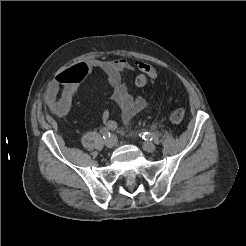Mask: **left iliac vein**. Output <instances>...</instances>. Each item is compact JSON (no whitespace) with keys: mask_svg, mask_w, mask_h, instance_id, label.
Segmentation results:
<instances>
[{"mask_svg":"<svg viewBox=\"0 0 246 246\" xmlns=\"http://www.w3.org/2000/svg\"><path fill=\"white\" fill-rule=\"evenodd\" d=\"M142 146H143V149L147 152H154L156 150V146L152 142L143 143Z\"/></svg>","mask_w":246,"mask_h":246,"instance_id":"left-iliac-vein-1","label":"left iliac vein"}]
</instances>
